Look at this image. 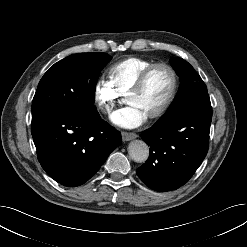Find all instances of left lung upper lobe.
Wrapping results in <instances>:
<instances>
[{"instance_id":"obj_1","label":"left lung upper lobe","mask_w":247,"mask_h":247,"mask_svg":"<svg viewBox=\"0 0 247 247\" xmlns=\"http://www.w3.org/2000/svg\"><path fill=\"white\" fill-rule=\"evenodd\" d=\"M170 62L181 80L180 90L168 110V112H174L183 107L197 94L207 92V88L201 77L188 62L179 57L170 59Z\"/></svg>"}]
</instances>
